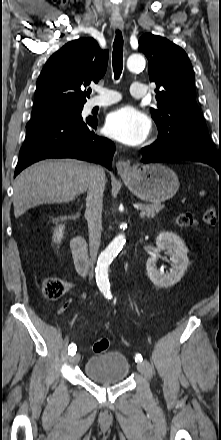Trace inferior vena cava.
Returning <instances> with one entry per match:
<instances>
[{
  "instance_id": "602c4592",
  "label": "inferior vena cava",
  "mask_w": 221,
  "mask_h": 440,
  "mask_svg": "<svg viewBox=\"0 0 221 440\" xmlns=\"http://www.w3.org/2000/svg\"><path fill=\"white\" fill-rule=\"evenodd\" d=\"M105 182L104 170L99 166H93L92 176L88 186L85 211L89 230L90 264L92 266L96 261L101 243L102 206Z\"/></svg>"
}]
</instances>
